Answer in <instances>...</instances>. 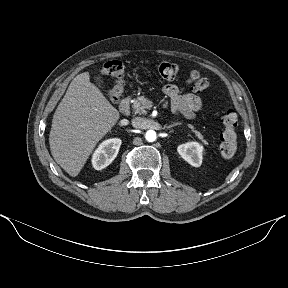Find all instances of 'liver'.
Listing matches in <instances>:
<instances>
[{
  "label": "liver",
  "mask_w": 288,
  "mask_h": 288,
  "mask_svg": "<svg viewBox=\"0 0 288 288\" xmlns=\"http://www.w3.org/2000/svg\"><path fill=\"white\" fill-rule=\"evenodd\" d=\"M120 114L90 82L88 72L78 74L59 103L49 134L54 160L76 177L97 143L112 129Z\"/></svg>",
  "instance_id": "6515ba94"
}]
</instances>
